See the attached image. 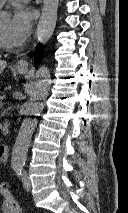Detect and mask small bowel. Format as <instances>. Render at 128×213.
<instances>
[{"label": "small bowel", "mask_w": 128, "mask_h": 213, "mask_svg": "<svg viewBox=\"0 0 128 213\" xmlns=\"http://www.w3.org/2000/svg\"><path fill=\"white\" fill-rule=\"evenodd\" d=\"M0 212L1 213H10L9 209L7 208L5 202L3 201L1 206H0Z\"/></svg>", "instance_id": "1"}]
</instances>
